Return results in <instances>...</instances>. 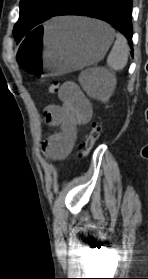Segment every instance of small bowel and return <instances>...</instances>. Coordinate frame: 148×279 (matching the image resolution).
Here are the masks:
<instances>
[{
    "label": "small bowel",
    "instance_id": "small-bowel-1",
    "mask_svg": "<svg viewBox=\"0 0 148 279\" xmlns=\"http://www.w3.org/2000/svg\"><path fill=\"white\" fill-rule=\"evenodd\" d=\"M61 104L45 108L44 118L48 125L58 127L57 133L49 136L42 146L43 154L53 160L65 159L74 149L77 128L92 118V106L78 85L65 82L59 92Z\"/></svg>",
    "mask_w": 148,
    "mask_h": 279
}]
</instances>
